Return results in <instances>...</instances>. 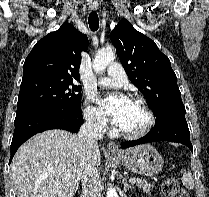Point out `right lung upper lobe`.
I'll list each match as a JSON object with an SVG mask.
<instances>
[{"instance_id":"right-lung-upper-lobe-1","label":"right lung upper lobe","mask_w":209,"mask_h":197,"mask_svg":"<svg viewBox=\"0 0 209 197\" xmlns=\"http://www.w3.org/2000/svg\"><path fill=\"white\" fill-rule=\"evenodd\" d=\"M87 48V36L65 22L35 44L24 62L21 84L43 79L79 80L81 52Z\"/></svg>"}]
</instances>
